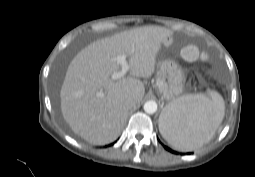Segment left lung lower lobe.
<instances>
[{
    "label": "left lung lower lobe",
    "instance_id": "0a47b994",
    "mask_svg": "<svg viewBox=\"0 0 255 177\" xmlns=\"http://www.w3.org/2000/svg\"><path fill=\"white\" fill-rule=\"evenodd\" d=\"M164 148H165L166 150H168L169 152H171V153H177L176 151L172 150L171 148H169V147H167V146H164ZM189 154H190V153H189Z\"/></svg>",
    "mask_w": 255,
    "mask_h": 177
}]
</instances>
